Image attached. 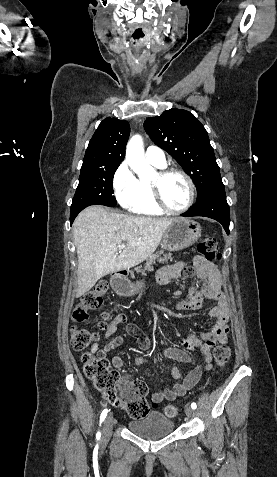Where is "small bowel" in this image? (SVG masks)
<instances>
[{
  "label": "small bowel",
  "instance_id": "c3829d8e",
  "mask_svg": "<svg viewBox=\"0 0 277 477\" xmlns=\"http://www.w3.org/2000/svg\"><path fill=\"white\" fill-rule=\"evenodd\" d=\"M193 266L196 270L197 277L202 284L201 290L194 287L190 290L189 295L177 304L179 310H192L198 308L203 297L215 301V306L210 310L209 316L215 321L209 331L192 333L188 337L181 339V344L186 349H199L204 356V366L198 364L184 349L177 347H168L164 350L165 357L177 362L187 363L194 366L186 376H182L177 367L171 369V376L176 380L171 388L157 389L152 395V402L158 404L162 400H174L177 397L185 395L200 380L203 369L210 370L212 368V351L217 344H225L228 334V318L229 309L226 297L222 291L221 276L209 260L202 256H196L193 260ZM188 267L185 262H177L162 267L157 273V279L162 284H168L171 280L178 278L184 269ZM128 317L125 314H118L107 326L104 339L106 344L99 349V341H96L91 352L106 356L110 351L122 345L125 338H133L136 340L141 350L150 348L149 339L134 324H127V336L112 337L120 324L126 323ZM124 355L117 354L112 358V365L116 369H120L124 364ZM145 363L144 357H137L134 360L136 366ZM129 377H126V380Z\"/></svg>",
  "mask_w": 277,
  "mask_h": 477
}]
</instances>
